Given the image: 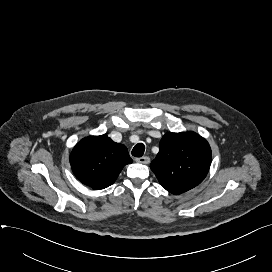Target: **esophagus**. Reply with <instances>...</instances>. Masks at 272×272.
I'll return each mask as SVG.
<instances>
[{"instance_id":"obj_1","label":"esophagus","mask_w":272,"mask_h":272,"mask_svg":"<svg viewBox=\"0 0 272 272\" xmlns=\"http://www.w3.org/2000/svg\"><path fill=\"white\" fill-rule=\"evenodd\" d=\"M136 162L142 163V164H148L150 162V158L147 156H143L140 158H136Z\"/></svg>"}]
</instances>
